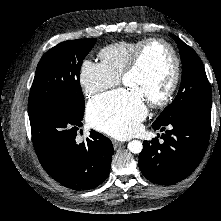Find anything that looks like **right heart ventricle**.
I'll return each instance as SVG.
<instances>
[{
	"mask_svg": "<svg viewBox=\"0 0 221 221\" xmlns=\"http://www.w3.org/2000/svg\"><path fill=\"white\" fill-rule=\"evenodd\" d=\"M143 40L119 41L104 47L99 52L100 64L108 73L120 78L133 52Z\"/></svg>",
	"mask_w": 221,
	"mask_h": 221,
	"instance_id": "e07e8e85",
	"label": "right heart ventricle"
}]
</instances>
